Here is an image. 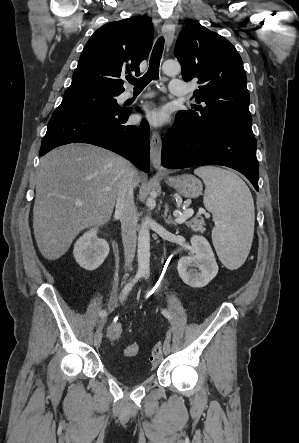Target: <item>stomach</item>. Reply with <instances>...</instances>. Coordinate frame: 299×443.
Listing matches in <instances>:
<instances>
[{
  "label": "stomach",
  "instance_id": "1",
  "mask_svg": "<svg viewBox=\"0 0 299 443\" xmlns=\"http://www.w3.org/2000/svg\"><path fill=\"white\" fill-rule=\"evenodd\" d=\"M166 183L186 198H197L202 194V182L195 176L185 174L176 177H167Z\"/></svg>",
  "mask_w": 299,
  "mask_h": 443
}]
</instances>
